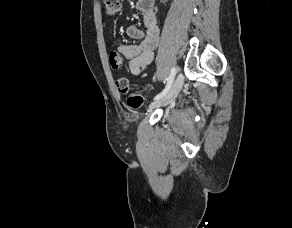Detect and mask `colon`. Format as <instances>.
<instances>
[{"mask_svg":"<svg viewBox=\"0 0 292 228\" xmlns=\"http://www.w3.org/2000/svg\"><path fill=\"white\" fill-rule=\"evenodd\" d=\"M105 13L108 16H114L119 13L121 8L120 0H104ZM109 62L114 70H119L122 65V60L116 52H111L109 56ZM116 86L120 93L127 94L126 104L132 109H139L144 104V97L138 92H130L127 79L118 78L116 80Z\"/></svg>","mask_w":292,"mask_h":228,"instance_id":"5ec220e1","label":"colon"}]
</instances>
